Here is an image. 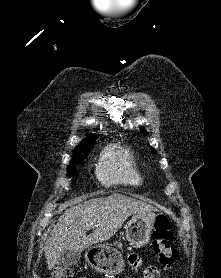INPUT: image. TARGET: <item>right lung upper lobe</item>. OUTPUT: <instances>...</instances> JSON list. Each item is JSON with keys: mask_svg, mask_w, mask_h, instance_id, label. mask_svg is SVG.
<instances>
[{"mask_svg": "<svg viewBox=\"0 0 221 278\" xmlns=\"http://www.w3.org/2000/svg\"><path fill=\"white\" fill-rule=\"evenodd\" d=\"M98 135L97 134H90L88 135L85 140H83L80 145H78L76 148H75V151L76 150H79V149H82V148H85L87 146H90L92 144L95 143V140L97 139Z\"/></svg>", "mask_w": 221, "mask_h": 278, "instance_id": "right-lung-upper-lobe-1", "label": "right lung upper lobe"}]
</instances>
